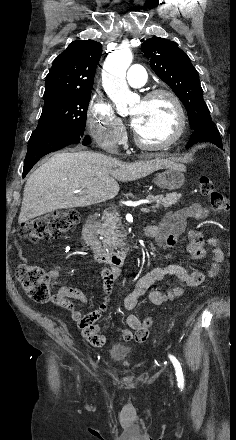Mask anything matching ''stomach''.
Returning a JSON list of instances; mask_svg holds the SVG:
<instances>
[{
  "label": "stomach",
  "instance_id": "0dacf381",
  "mask_svg": "<svg viewBox=\"0 0 236 440\" xmlns=\"http://www.w3.org/2000/svg\"><path fill=\"white\" fill-rule=\"evenodd\" d=\"M164 171L157 173L153 179V182L162 189L176 190L180 188L184 181L185 167L180 164H172L164 167Z\"/></svg>",
  "mask_w": 236,
  "mask_h": 440
}]
</instances>
